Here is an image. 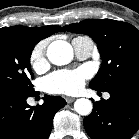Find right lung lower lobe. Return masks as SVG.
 I'll list each match as a JSON object with an SVG mask.
<instances>
[{
  "mask_svg": "<svg viewBox=\"0 0 139 139\" xmlns=\"http://www.w3.org/2000/svg\"><path fill=\"white\" fill-rule=\"evenodd\" d=\"M27 95L0 90V139H47L55 113L66 105L59 96H47L44 103L31 107Z\"/></svg>",
  "mask_w": 139,
  "mask_h": 139,
  "instance_id": "98d812e1",
  "label": "right lung lower lobe"
}]
</instances>
